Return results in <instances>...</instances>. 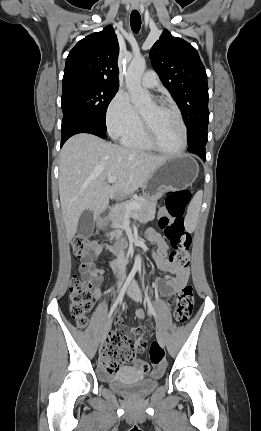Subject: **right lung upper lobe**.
I'll return each instance as SVG.
<instances>
[{"mask_svg": "<svg viewBox=\"0 0 261 431\" xmlns=\"http://www.w3.org/2000/svg\"><path fill=\"white\" fill-rule=\"evenodd\" d=\"M119 44L111 25L80 40L70 51L63 79L86 77L119 87Z\"/></svg>", "mask_w": 261, "mask_h": 431, "instance_id": "cb5924a9", "label": "right lung upper lobe"}]
</instances>
